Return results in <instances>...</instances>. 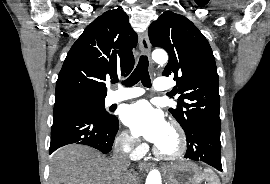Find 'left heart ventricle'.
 Masks as SVG:
<instances>
[{"label": "left heart ventricle", "instance_id": "obj_1", "mask_svg": "<svg viewBox=\"0 0 270 184\" xmlns=\"http://www.w3.org/2000/svg\"><path fill=\"white\" fill-rule=\"evenodd\" d=\"M157 146L166 153L174 151L176 148V137L170 128L163 140Z\"/></svg>", "mask_w": 270, "mask_h": 184}]
</instances>
